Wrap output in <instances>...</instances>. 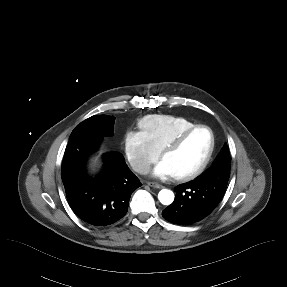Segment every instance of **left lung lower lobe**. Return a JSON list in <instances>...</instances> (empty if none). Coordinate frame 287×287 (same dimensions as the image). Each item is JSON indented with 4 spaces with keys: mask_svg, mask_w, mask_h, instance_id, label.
<instances>
[{
    "mask_svg": "<svg viewBox=\"0 0 287 287\" xmlns=\"http://www.w3.org/2000/svg\"><path fill=\"white\" fill-rule=\"evenodd\" d=\"M210 180L197 179L175 187V200L163 210L171 223L188 225L208 216L222 199L229 179L226 171L213 170Z\"/></svg>",
    "mask_w": 287,
    "mask_h": 287,
    "instance_id": "obj_1",
    "label": "left lung lower lobe"
}]
</instances>
